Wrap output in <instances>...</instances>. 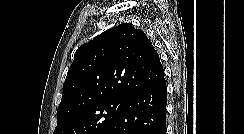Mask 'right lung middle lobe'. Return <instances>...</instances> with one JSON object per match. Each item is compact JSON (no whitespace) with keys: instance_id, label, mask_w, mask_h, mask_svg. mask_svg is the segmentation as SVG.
<instances>
[{"instance_id":"dd1d6c3e","label":"right lung middle lobe","mask_w":244,"mask_h":134,"mask_svg":"<svg viewBox=\"0 0 244 134\" xmlns=\"http://www.w3.org/2000/svg\"><path fill=\"white\" fill-rule=\"evenodd\" d=\"M127 99L111 98L88 105L58 120L54 134H103L115 121Z\"/></svg>"}]
</instances>
